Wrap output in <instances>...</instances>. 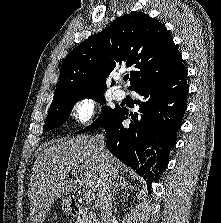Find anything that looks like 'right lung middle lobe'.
Listing matches in <instances>:
<instances>
[{
	"label": "right lung middle lobe",
	"instance_id": "1",
	"mask_svg": "<svg viewBox=\"0 0 221 223\" xmlns=\"http://www.w3.org/2000/svg\"><path fill=\"white\" fill-rule=\"evenodd\" d=\"M84 98L94 99L100 104L104 103L105 101L104 97L102 96V92L79 94L53 101L51 103L48 116L44 125V131H49L51 129L61 126L68 119L74 104ZM119 109V107H103L100 117L89 127L80 131V133L103 126Z\"/></svg>",
	"mask_w": 221,
	"mask_h": 223
}]
</instances>
